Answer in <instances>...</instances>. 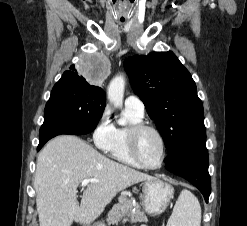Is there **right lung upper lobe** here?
Returning <instances> with one entry per match:
<instances>
[{"instance_id":"cb5924a9","label":"right lung upper lobe","mask_w":247,"mask_h":226,"mask_svg":"<svg viewBox=\"0 0 247 226\" xmlns=\"http://www.w3.org/2000/svg\"><path fill=\"white\" fill-rule=\"evenodd\" d=\"M66 78H71L78 86L91 89L105 98V92L103 91V89L97 86L90 85L83 77L79 76L76 69L74 68V65L70 67V70L65 71L63 76L61 77V79Z\"/></svg>"}]
</instances>
